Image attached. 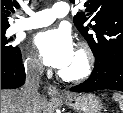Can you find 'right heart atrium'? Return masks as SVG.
Wrapping results in <instances>:
<instances>
[{"label":"right heart atrium","mask_w":123,"mask_h":113,"mask_svg":"<svg viewBox=\"0 0 123 113\" xmlns=\"http://www.w3.org/2000/svg\"><path fill=\"white\" fill-rule=\"evenodd\" d=\"M25 66L28 71L37 73L41 69L40 62L33 56H28L25 60Z\"/></svg>","instance_id":"obj_1"}]
</instances>
